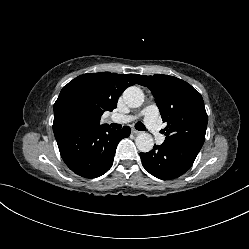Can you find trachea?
<instances>
[{"instance_id":"trachea-1","label":"trachea","mask_w":249,"mask_h":249,"mask_svg":"<svg viewBox=\"0 0 249 249\" xmlns=\"http://www.w3.org/2000/svg\"><path fill=\"white\" fill-rule=\"evenodd\" d=\"M111 127L115 128V129H119V128L122 127V125L121 124L112 123ZM135 128L137 130H140V131H145L146 130V127L144 126V124L142 122H137L135 124Z\"/></svg>"}]
</instances>
